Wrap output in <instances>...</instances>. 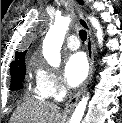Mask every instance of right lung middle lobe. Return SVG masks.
I'll use <instances>...</instances> for the list:
<instances>
[{
  "mask_svg": "<svg viewBox=\"0 0 122 123\" xmlns=\"http://www.w3.org/2000/svg\"><path fill=\"white\" fill-rule=\"evenodd\" d=\"M25 64L24 62L21 63L19 66L12 68L10 70V74H11V89L12 90H17V89H21L22 86V82L24 80L25 77Z\"/></svg>",
  "mask_w": 122,
  "mask_h": 123,
  "instance_id": "obj_1",
  "label": "right lung middle lobe"
}]
</instances>
